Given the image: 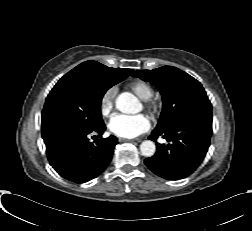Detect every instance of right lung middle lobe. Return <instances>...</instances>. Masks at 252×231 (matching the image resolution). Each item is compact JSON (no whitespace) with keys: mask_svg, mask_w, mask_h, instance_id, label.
Masks as SVG:
<instances>
[{"mask_svg":"<svg viewBox=\"0 0 252 231\" xmlns=\"http://www.w3.org/2000/svg\"><path fill=\"white\" fill-rule=\"evenodd\" d=\"M113 69L95 61L82 63L57 82L42 111L44 142L62 132H88L104 124L102 97L110 87L125 79Z\"/></svg>","mask_w":252,"mask_h":231,"instance_id":"obj_1","label":"right lung middle lobe"}]
</instances>
